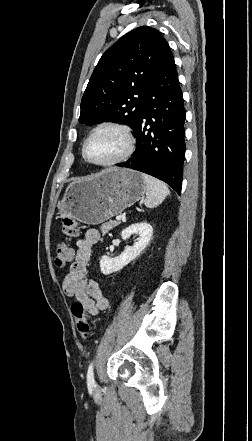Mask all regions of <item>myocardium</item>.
Returning <instances> with one entry per match:
<instances>
[{"label":"myocardium","mask_w":252,"mask_h":441,"mask_svg":"<svg viewBox=\"0 0 252 441\" xmlns=\"http://www.w3.org/2000/svg\"><path fill=\"white\" fill-rule=\"evenodd\" d=\"M105 129H111L119 132L124 139L125 147L124 150L121 152V154L115 157L114 159L106 162H97L88 157L87 145L90 139L95 134ZM134 150H135V139L131 129L127 125L117 122H103L95 126L84 140L82 145V156L87 163L93 166L111 167L126 161L133 154Z\"/></svg>","instance_id":"1"}]
</instances>
